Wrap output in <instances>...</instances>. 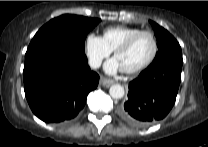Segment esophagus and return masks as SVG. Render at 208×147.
<instances>
[{"label": "esophagus", "instance_id": "obj_1", "mask_svg": "<svg viewBox=\"0 0 208 147\" xmlns=\"http://www.w3.org/2000/svg\"><path fill=\"white\" fill-rule=\"evenodd\" d=\"M100 83L104 87H109L110 85L114 83V81L105 77H101Z\"/></svg>", "mask_w": 208, "mask_h": 147}]
</instances>
